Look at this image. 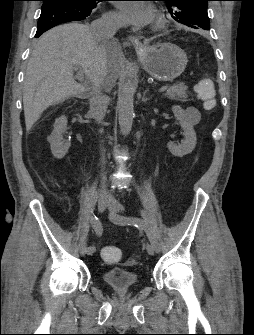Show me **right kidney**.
I'll return each mask as SVG.
<instances>
[{
    "label": "right kidney",
    "mask_w": 254,
    "mask_h": 335,
    "mask_svg": "<svg viewBox=\"0 0 254 335\" xmlns=\"http://www.w3.org/2000/svg\"><path fill=\"white\" fill-rule=\"evenodd\" d=\"M54 129L48 137L51 152L57 159H62L70 148V143L63 138L67 128V117L61 116L55 120Z\"/></svg>",
    "instance_id": "ca27d5eb"
}]
</instances>
